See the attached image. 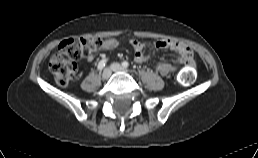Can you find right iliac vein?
<instances>
[{"mask_svg": "<svg viewBox=\"0 0 258 158\" xmlns=\"http://www.w3.org/2000/svg\"><path fill=\"white\" fill-rule=\"evenodd\" d=\"M111 76V69L110 68H106L103 73H102V79L103 80H108Z\"/></svg>", "mask_w": 258, "mask_h": 158, "instance_id": "right-iliac-vein-1", "label": "right iliac vein"}]
</instances>
